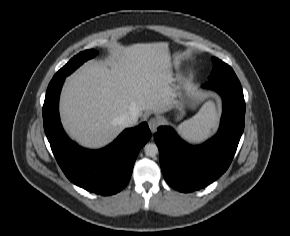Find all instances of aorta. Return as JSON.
Instances as JSON below:
<instances>
[{
  "label": "aorta",
  "instance_id": "aorta-1",
  "mask_svg": "<svg viewBox=\"0 0 290 236\" xmlns=\"http://www.w3.org/2000/svg\"><path fill=\"white\" fill-rule=\"evenodd\" d=\"M144 152L146 156L154 157L158 154V147L155 143H147L144 146Z\"/></svg>",
  "mask_w": 290,
  "mask_h": 236
}]
</instances>
